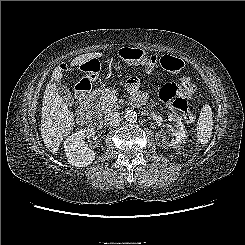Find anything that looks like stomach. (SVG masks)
Instances as JSON below:
<instances>
[{
	"mask_svg": "<svg viewBox=\"0 0 245 245\" xmlns=\"http://www.w3.org/2000/svg\"><path fill=\"white\" fill-rule=\"evenodd\" d=\"M88 64V63H87ZM114 68L115 70H120L121 69V62L120 61H117L114 63ZM88 71H87V75H86V78L90 81V82H93V81H96L97 78H98V73L97 72H93L92 70H89V68H86Z\"/></svg>",
	"mask_w": 245,
	"mask_h": 245,
	"instance_id": "stomach-1",
	"label": "stomach"
}]
</instances>
